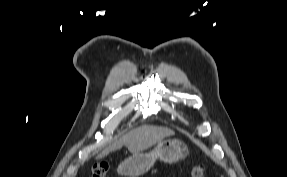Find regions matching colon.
I'll use <instances>...</instances> for the list:
<instances>
[{
    "mask_svg": "<svg viewBox=\"0 0 287 177\" xmlns=\"http://www.w3.org/2000/svg\"><path fill=\"white\" fill-rule=\"evenodd\" d=\"M110 165L106 161L97 162L92 167V177H106ZM189 177H206V165L198 163L189 168Z\"/></svg>",
    "mask_w": 287,
    "mask_h": 177,
    "instance_id": "obj_1",
    "label": "colon"
}]
</instances>
